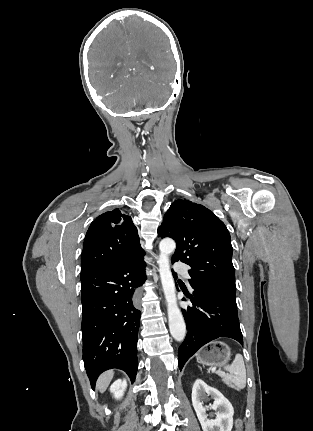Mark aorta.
<instances>
[{"label":"aorta","instance_id":"aorta-1","mask_svg":"<svg viewBox=\"0 0 313 431\" xmlns=\"http://www.w3.org/2000/svg\"><path fill=\"white\" fill-rule=\"evenodd\" d=\"M176 244L170 238L163 239L159 244V273L163 292L167 302L169 329L172 337L181 342L186 336V325L183 315L177 305L176 288L170 270L169 255L175 250Z\"/></svg>","mask_w":313,"mask_h":431}]
</instances>
